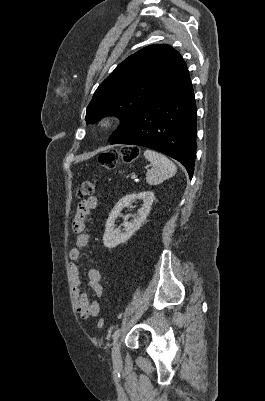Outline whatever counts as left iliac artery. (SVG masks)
Here are the masks:
<instances>
[{
	"label": "left iliac artery",
	"mask_w": 265,
	"mask_h": 401,
	"mask_svg": "<svg viewBox=\"0 0 265 401\" xmlns=\"http://www.w3.org/2000/svg\"><path fill=\"white\" fill-rule=\"evenodd\" d=\"M120 334V329H117L114 334H113V340L114 342L117 340V338L119 337Z\"/></svg>",
	"instance_id": "obj_1"
}]
</instances>
